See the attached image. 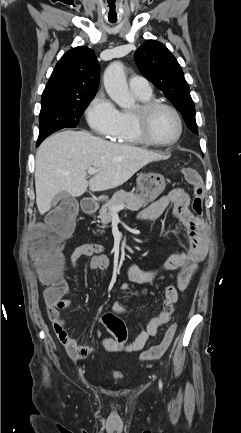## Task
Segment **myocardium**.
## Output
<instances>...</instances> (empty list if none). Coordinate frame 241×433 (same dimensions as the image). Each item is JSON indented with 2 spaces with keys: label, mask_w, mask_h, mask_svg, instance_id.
<instances>
[{
  "label": "myocardium",
  "mask_w": 241,
  "mask_h": 433,
  "mask_svg": "<svg viewBox=\"0 0 241 433\" xmlns=\"http://www.w3.org/2000/svg\"><path fill=\"white\" fill-rule=\"evenodd\" d=\"M159 109H166L170 111L175 117L178 124L177 136L170 142H160L155 140L150 133L149 126L153 114ZM133 122L135 129L145 144L156 147H169L175 145L183 134V121L179 112L170 104L150 100L140 103L132 112Z\"/></svg>",
  "instance_id": "f54148a6"
}]
</instances>
